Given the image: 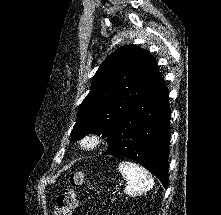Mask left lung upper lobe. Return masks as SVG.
Here are the masks:
<instances>
[{
	"label": "left lung upper lobe",
	"instance_id": "1",
	"mask_svg": "<svg viewBox=\"0 0 221 215\" xmlns=\"http://www.w3.org/2000/svg\"><path fill=\"white\" fill-rule=\"evenodd\" d=\"M152 56L136 46H124L98 68L91 90L80 105L71 141L87 132L110 141L111 134L125 113L149 87L158 74Z\"/></svg>",
	"mask_w": 221,
	"mask_h": 215
}]
</instances>
